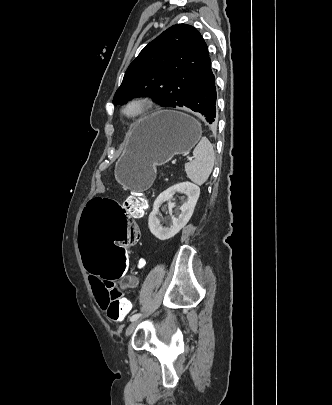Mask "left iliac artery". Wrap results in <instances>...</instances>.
Masks as SVG:
<instances>
[{"label":"left iliac artery","instance_id":"left-iliac-artery-1","mask_svg":"<svg viewBox=\"0 0 332 405\" xmlns=\"http://www.w3.org/2000/svg\"><path fill=\"white\" fill-rule=\"evenodd\" d=\"M141 316V313L134 314L130 317V321L133 322Z\"/></svg>","mask_w":332,"mask_h":405}]
</instances>
